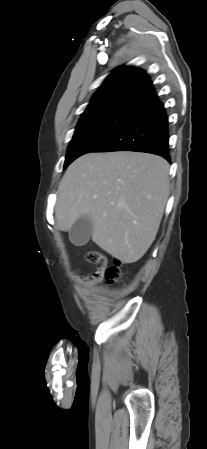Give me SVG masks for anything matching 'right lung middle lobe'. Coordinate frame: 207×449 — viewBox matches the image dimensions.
<instances>
[{
    "label": "right lung middle lobe",
    "mask_w": 207,
    "mask_h": 449,
    "mask_svg": "<svg viewBox=\"0 0 207 449\" xmlns=\"http://www.w3.org/2000/svg\"><path fill=\"white\" fill-rule=\"evenodd\" d=\"M134 112L112 110L81 116L72 140L68 145L65 169L79 156L92 152L99 144L131 120Z\"/></svg>",
    "instance_id": "dd1d6c3e"
}]
</instances>
